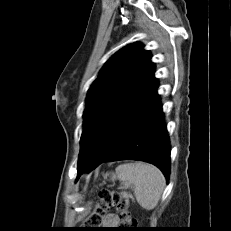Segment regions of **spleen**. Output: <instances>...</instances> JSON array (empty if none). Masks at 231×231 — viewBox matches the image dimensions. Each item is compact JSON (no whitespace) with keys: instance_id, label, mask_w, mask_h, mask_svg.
Segmentation results:
<instances>
[{"instance_id":"1","label":"spleen","mask_w":231,"mask_h":231,"mask_svg":"<svg viewBox=\"0 0 231 231\" xmlns=\"http://www.w3.org/2000/svg\"><path fill=\"white\" fill-rule=\"evenodd\" d=\"M117 178L133 190L137 202L146 210L154 209L163 193L166 180L155 166L144 162L126 163L116 168Z\"/></svg>"}]
</instances>
